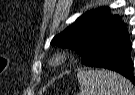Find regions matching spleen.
<instances>
[{"label": "spleen", "instance_id": "3e777b00", "mask_svg": "<svg viewBox=\"0 0 135 95\" xmlns=\"http://www.w3.org/2000/svg\"><path fill=\"white\" fill-rule=\"evenodd\" d=\"M78 95H135V87L123 76L107 70H80Z\"/></svg>", "mask_w": 135, "mask_h": 95}]
</instances>
